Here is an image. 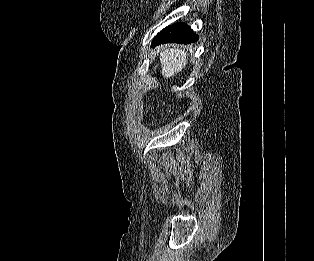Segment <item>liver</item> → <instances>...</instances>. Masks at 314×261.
I'll use <instances>...</instances> for the list:
<instances>
[{"label":"liver","instance_id":"liver-1","mask_svg":"<svg viewBox=\"0 0 314 261\" xmlns=\"http://www.w3.org/2000/svg\"><path fill=\"white\" fill-rule=\"evenodd\" d=\"M187 54L178 48H164L160 53L162 75L168 79L181 72L187 65Z\"/></svg>","mask_w":314,"mask_h":261}]
</instances>
